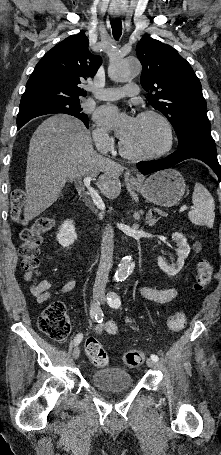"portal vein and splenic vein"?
I'll return each instance as SVG.
<instances>
[{"instance_id": "1", "label": "portal vein and splenic vein", "mask_w": 221, "mask_h": 455, "mask_svg": "<svg viewBox=\"0 0 221 455\" xmlns=\"http://www.w3.org/2000/svg\"><path fill=\"white\" fill-rule=\"evenodd\" d=\"M91 180L92 178L90 176H85L84 177V186L87 188L88 190V194L90 195V197L92 198V201L93 203L95 204V206L101 210L102 212L105 211V204L104 202L102 201L101 197L99 196V194L97 193V191L91 186ZM188 207L186 205L182 206L180 208V212H183L185 210H187Z\"/></svg>"}]
</instances>
